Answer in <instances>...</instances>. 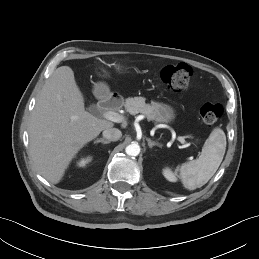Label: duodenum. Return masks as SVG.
I'll use <instances>...</instances> for the list:
<instances>
[{
    "instance_id": "410a0bca",
    "label": "duodenum",
    "mask_w": 259,
    "mask_h": 259,
    "mask_svg": "<svg viewBox=\"0 0 259 259\" xmlns=\"http://www.w3.org/2000/svg\"><path fill=\"white\" fill-rule=\"evenodd\" d=\"M98 103L102 108L114 109L118 108L122 102L117 94H113L101 98Z\"/></svg>"
}]
</instances>
